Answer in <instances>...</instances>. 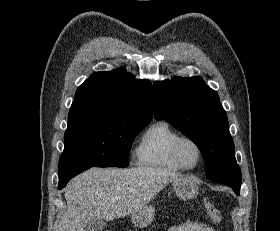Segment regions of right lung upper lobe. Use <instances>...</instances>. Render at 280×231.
I'll return each instance as SVG.
<instances>
[{
  "label": "right lung upper lobe",
  "mask_w": 280,
  "mask_h": 231,
  "mask_svg": "<svg viewBox=\"0 0 280 231\" xmlns=\"http://www.w3.org/2000/svg\"><path fill=\"white\" fill-rule=\"evenodd\" d=\"M151 82L135 79L125 70L95 72L75 93L68 119L112 118L150 122Z\"/></svg>",
  "instance_id": "obj_1"
}]
</instances>
